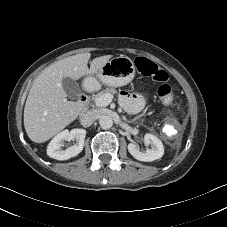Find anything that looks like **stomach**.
Here are the masks:
<instances>
[{
    "mask_svg": "<svg viewBox=\"0 0 227 227\" xmlns=\"http://www.w3.org/2000/svg\"><path fill=\"white\" fill-rule=\"evenodd\" d=\"M95 76L107 86L120 87L134 79L135 66L129 57L121 55L109 60Z\"/></svg>",
    "mask_w": 227,
    "mask_h": 227,
    "instance_id": "obj_1",
    "label": "stomach"
}]
</instances>
